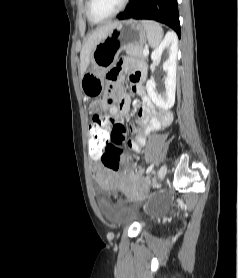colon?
<instances>
[{"label":"colon","mask_w":238,"mask_h":278,"mask_svg":"<svg viewBox=\"0 0 238 278\" xmlns=\"http://www.w3.org/2000/svg\"><path fill=\"white\" fill-rule=\"evenodd\" d=\"M118 77V76H117ZM111 82V81H110ZM107 103L115 105L114 98H108ZM110 124L103 127L102 124H89V129H101V130H87V135H93L92 137H86V142H90L89 148L90 158L100 160L102 164L111 170H117L120 163V156L124 152L126 144L123 143L125 137H111L112 141L116 144H110L107 134L111 133V127H119L117 120L114 118L115 113H111Z\"/></svg>","instance_id":"obj_1"}]
</instances>
